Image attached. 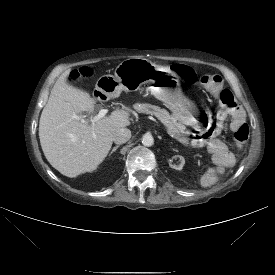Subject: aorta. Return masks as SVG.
Here are the masks:
<instances>
[{
    "label": "aorta",
    "instance_id": "1",
    "mask_svg": "<svg viewBox=\"0 0 275 275\" xmlns=\"http://www.w3.org/2000/svg\"><path fill=\"white\" fill-rule=\"evenodd\" d=\"M142 144L144 146H152L154 144V139L152 137L151 134L147 133V134H144L143 137H142Z\"/></svg>",
    "mask_w": 275,
    "mask_h": 275
}]
</instances>
